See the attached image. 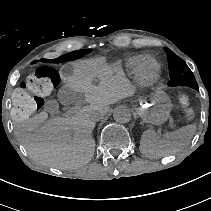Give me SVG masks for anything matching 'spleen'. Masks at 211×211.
<instances>
[{"label":"spleen","mask_w":211,"mask_h":211,"mask_svg":"<svg viewBox=\"0 0 211 211\" xmlns=\"http://www.w3.org/2000/svg\"><path fill=\"white\" fill-rule=\"evenodd\" d=\"M194 125L184 126L173 132H166L163 136L154 130L143 132L140 139V152L151 159H159L187 146L195 133Z\"/></svg>","instance_id":"obj_1"}]
</instances>
